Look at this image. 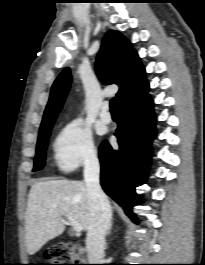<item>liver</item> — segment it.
<instances>
[{
  "instance_id": "6515ba94",
  "label": "liver",
  "mask_w": 205,
  "mask_h": 265,
  "mask_svg": "<svg viewBox=\"0 0 205 265\" xmlns=\"http://www.w3.org/2000/svg\"><path fill=\"white\" fill-rule=\"evenodd\" d=\"M72 216L87 230L90 206L84 182L44 180L32 185L25 215V239L29 255L38 252L49 240L61 235L63 217Z\"/></svg>"
}]
</instances>
